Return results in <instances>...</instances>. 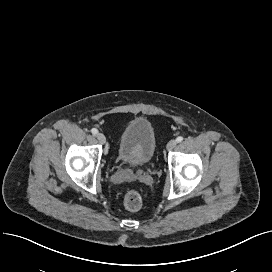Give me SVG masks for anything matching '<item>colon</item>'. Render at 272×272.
<instances>
[{
	"label": "colon",
	"instance_id": "colon-1",
	"mask_svg": "<svg viewBox=\"0 0 272 272\" xmlns=\"http://www.w3.org/2000/svg\"><path fill=\"white\" fill-rule=\"evenodd\" d=\"M142 195L137 190H130L123 198V206L128 211H137L142 206Z\"/></svg>",
	"mask_w": 272,
	"mask_h": 272
}]
</instances>
